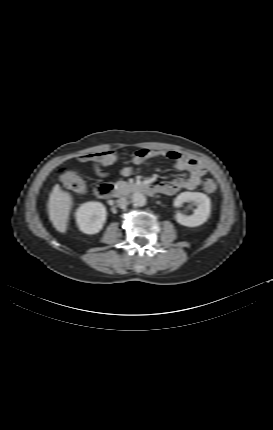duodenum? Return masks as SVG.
<instances>
[{
    "label": "duodenum",
    "instance_id": "410a0bca",
    "mask_svg": "<svg viewBox=\"0 0 273 430\" xmlns=\"http://www.w3.org/2000/svg\"><path fill=\"white\" fill-rule=\"evenodd\" d=\"M134 190L144 192L147 194H154L157 192V189L154 185L140 184L135 185ZM96 196L100 199H108L114 193V186L109 183H101L98 184L95 188Z\"/></svg>",
    "mask_w": 273,
    "mask_h": 430
}]
</instances>
